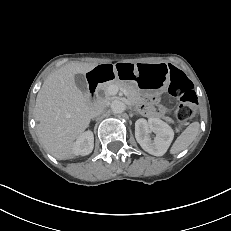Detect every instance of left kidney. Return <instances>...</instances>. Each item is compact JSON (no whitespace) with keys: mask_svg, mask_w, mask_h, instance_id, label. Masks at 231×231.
<instances>
[{"mask_svg":"<svg viewBox=\"0 0 231 231\" xmlns=\"http://www.w3.org/2000/svg\"><path fill=\"white\" fill-rule=\"evenodd\" d=\"M156 134L154 140L149 136ZM174 137L171 127L159 118L138 119L135 122V138L140 146L149 154L162 156L166 153Z\"/></svg>","mask_w":231,"mask_h":231,"instance_id":"1","label":"left kidney"}]
</instances>
